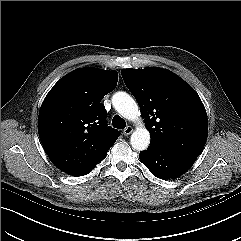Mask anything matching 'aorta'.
I'll return each instance as SVG.
<instances>
[{"instance_id": "aorta-1", "label": "aorta", "mask_w": 241, "mask_h": 241, "mask_svg": "<svg viewBox=\"0 0 241 241\" xmlns=\"http://www.w3.org/2000/svg\"><path fill=\"white\" fill-rule=\"evenodd\" d=\"M112 104L121 116L130 121H136L140 116L137 103L126 92H116L112 96ZM130 144L137 151L146 150L150 144L149 131L145 127H137L131 135Z\"/></svg>"}]
</instances>
